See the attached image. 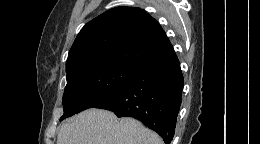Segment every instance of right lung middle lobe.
<instances>
[{"label":"right lung middle lobe","instance_id":"right-lung-middle-lobe-1","mask_svg":"<svg viewBox=\"0 0 260 144\" xmlns=\"http://www.w3.org/2000/svg\"><path fill=\"white\" fill-rule=\"evenodd\" d=\"M135 70L115 65H94L67 74L61 120L95 107L115 93Z\"/></svg>","mask_w":260,"mask_h":144}]
</instances>
